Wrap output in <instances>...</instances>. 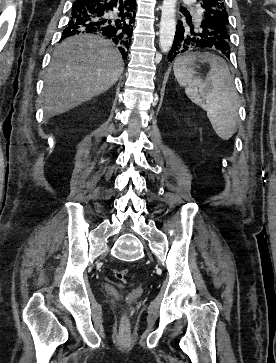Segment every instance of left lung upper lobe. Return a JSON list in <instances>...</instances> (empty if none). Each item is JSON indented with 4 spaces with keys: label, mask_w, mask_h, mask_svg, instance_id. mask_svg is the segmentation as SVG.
<instances>
[{
    "label": "left lung upper lobe",
    "mask_w": 276,
    "mask_h": 363,
    "mask_svg": "<svg viewBox=\"0 0 276 363\" xmlns=\"http://www.w3.org/2000/svg\"><path fill=\"white\" fill-rule=\"evenodd\" d=\"M204 9L202 19H209L216 28L215 32L221 39L227 41L229 45L228 35V13L223 0H200Z\"/></svg>",
    "instance_id": "obj_1"
}]
</instances>
